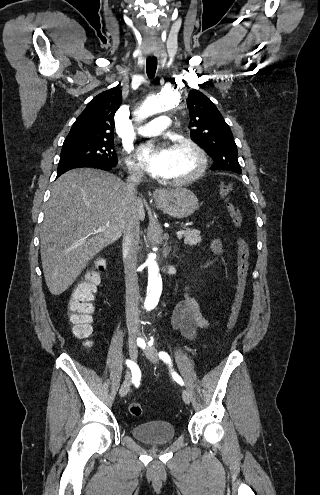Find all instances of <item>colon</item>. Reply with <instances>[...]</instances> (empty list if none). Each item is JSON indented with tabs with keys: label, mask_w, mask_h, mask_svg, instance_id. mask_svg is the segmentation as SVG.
Returning a JSON list of instances; mask_svg holds the SVG:
<instances>
[{
	"label": "colon",
	"mask_w": 320,
	"mask_h": 495,
	"mask_svg": "<svg viewBox=\"0 0 320 495\" xmlns=\"http://www.w3.org/2000/svg\"><path fill=\"white\" fill-rule=\"evenodd\" d=\"M233 193V185L229 182H223L219 186V194L227 201V207L235 226L242 225V213L238 206L233 204L230 199ZM250 247L247 239L240 236L237 240V286L232 311L226 326V335L234 329L238 320L242 300L245 292L249 272ZM102 269V267H100ZM99 272H89L75 287L72 298L69 303L70 322L73 326V332L80 338L88 337L92 331L91 321L95 309L94 294L99 282ZM130 414L140 416L142 406L138 402H133L129 406Z\"/></svg>",
	"instance_id": "1"
}]
</instances>
